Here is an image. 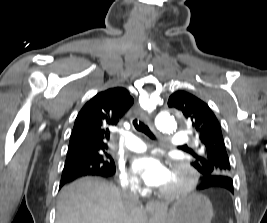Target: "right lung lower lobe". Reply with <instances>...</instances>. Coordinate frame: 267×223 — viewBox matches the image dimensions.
<instances>
[{"mask_svg":"<svg viewBox=\"0 0 267 223\" xmlns=\"http://www.w3.org/2000/svg\"><path fill=\"white\" fill-rule=\"evenodd\" d=\"M87 175H92V176H101V177H110L111 175L108 174H101V173H82V172H75V171H71V172H64L62 173V177H61V182H60V187H62L64 184H66L67 182H70L76 178L82 177V176H87Z\"/></svg>","mask_w":267,"mask_h":223,"instance_id":"1","label":"right lung lower lobe"}]
</instances>
